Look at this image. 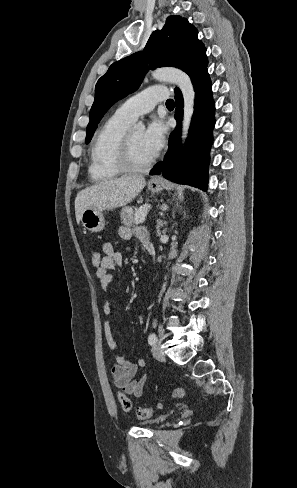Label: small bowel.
<instances>
[{"label":"small bowel","mask_w":297,"mask_h":488,"mask_svg":"<svg viewBox=\"0 0 297 488\" xmlns=\"http://www.w3.org/2000/svg\"><path fill=\"white\" fill-rule=\"evenodd\" d=\"M118 234L122 240H128L132 235H135L141 240L145 247L153 245L148 232L141 228L122 226L119 228ZM102 251L104 255L101 258V265L96 271V277L99 281L100 289L105 295L103 302V311L107 318L104 327L105 340L109 349L114 352L118 349V344L114 340L110 326L112 309L110 306L108 290L113 281L111 270L123 264V256L110 242H106L102 245ZM140 320L144 321V317H141ZM113 360L114 362L111 369L113 377L112 386L126 394L140 397L143 394L146 382L145 374L141 373V370L146 366L145 360L138 359L136 363H131L124 355L120 354H114Z\"/></svg>","instance_id":"obj_1"}]
</instances>
